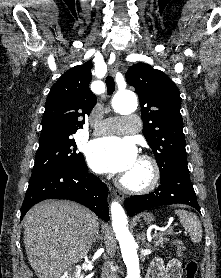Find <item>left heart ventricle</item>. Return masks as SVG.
<instances>
[{
  "label": "left heart ventricle",
  "instance_id": "b2bd125f",
  "mask_svg": "<svg viewBox=\"0 0 221 278\" xmlns=\"http://www.w3.org/2000/svg\"><path fill=\"white\" fill-rule=\"evenodd\" d=\"M125 181L131 185L140 186L145 184L150 178L149 166L139 159L129 171L122 176Z\"/></svg>",
  "mask_w": 221,
  "mask_h": 278
}]
</instances>
